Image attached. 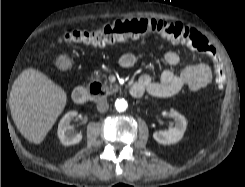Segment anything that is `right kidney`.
<instances>
[{"mask_svg":"<svg viewBox=\"0 0 245 187\" xmlns=\"http://www.w3.org/2000/svg\"><path fill=\"white\" fill-rule=\"evenodd\" d=\"M78 115L76 111L66 113L58 125V137L65 146L74 145L82 140L80 133H75L70 122Z\"/></svg>","mask_w":245,"mask_h":187,"instance_id":"ca27d5eb","label":"right kidney"}]
</instances>
